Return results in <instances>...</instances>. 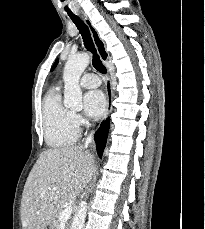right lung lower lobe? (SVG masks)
Segmentation results:
<instances>
[{
    "label": "right lung lower lobe",
    "mask_w": 205,
    "mask_h": 229,
    "mask_svg": "<svg viewBox=\"0 0 205 229\" xmlns=\"http://www.w3.org/2000/svg\"><path fill=\"white\" fill-rule=\"evenodd\" d=\"M108 131H109V119L101 123L100 129L94 135L97 153L100 156V158L102 157V153L106 145Z\"/></svg>",
    "instance_id": "obj_1"
}]
</instances>
